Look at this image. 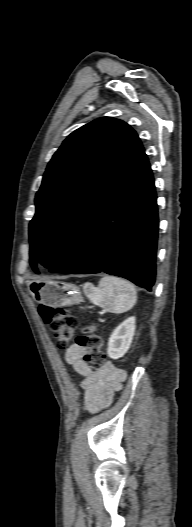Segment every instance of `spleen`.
<instances>
[{"label": "spleen", "instance_id": "3e777b00", "mask_svg": "<svg viewBox=\"0 0 192 527\" xmlns=\"http://www.w3.org/2000/svg\"><path fill=\"white\" fill-rule=\"evenodd\" d=\"M83 292L93 304L114 313L130 310L137 300L135 287L130 282L114 276L102 277L98 287L85 283Z\"/></svg>", "mask_w": 192, "mask_h": 527}]
</instances>
